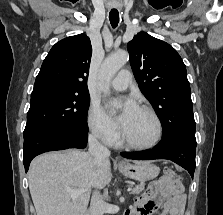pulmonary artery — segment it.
Wrapping results in <instances>:
<instances>
[{
  "label": "pulmonary artery",
  "instance_id": "pulmonary-artery-1",
  "mask_svg": "<svg viewBox=\"0 0 223 215\" xmlns=\"http://www.w3.org/2000/svg\"><path fill=\"white\" fill-rule=\"evenodd\" d=\"M130 73V69H121L110 82L111 87L120 91L127 89L132 82V75Z\"/></svg>",
  "mask_w": 223,
  "mask_h": 215
}]
</instances>
